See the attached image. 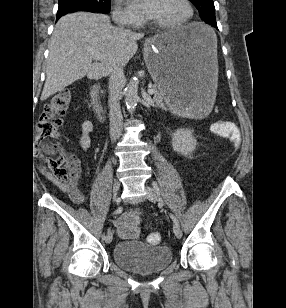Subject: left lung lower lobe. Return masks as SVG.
<instances>
[{
    "label": "left lung lower lobe",
    "mask_w": 286,
    "mask_h": 308,
    "mask_svg": "<svg viewBox=\"0 0 286 308\" xmlns=\"http://www.w3.org/2000/svg\"><path fill=\"white\" fill-rule=\"evenodd\" d=\"M205 23L212 25L213 27L217 28V23H216V19L215 18H209L207 20H205Z\"/></svg>",
    "instance_id": "obj_1"
}]
</instances>
